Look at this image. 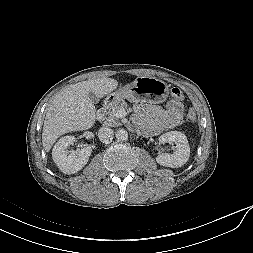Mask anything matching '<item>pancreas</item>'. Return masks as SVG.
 Listing matches in <instances>:
<instances>
[{"instance_id":"cf45deb5","label":"pancreas","mask_w":253,"mask_h":253,"mask_svg":"<svg viewBox=\"0 0 253 253\" xmlns=\"http://www.w3.org/2000/svg\"><path fill=\"white\" fill-rule=\"evenodd\" d=\"M127 107V103L124 100L118 101L110 106L105 107L101 113V119L104 124L115 127L120 125L119 123V110Z\"/></svg>"}]
</instances>
